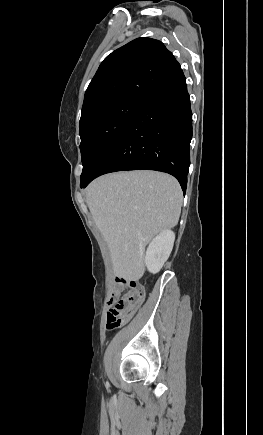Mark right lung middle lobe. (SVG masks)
<instances>
[{
  "instance_id": "1",
  "label": "right lung middle lobe",
  "mask_w": 263,
  "mask_h": 435,
  "mask_svg": "<svg viewBox=\"0 0 263 435\" xmlns=\"http://www.w3.org/2000/svg\"><path fill=\"white\" fill-rule=\"evenodd\" d=\"M144 102L119 100L92 110L80 123L81 182L96 171Z\"/></svg>"
}]
</instances>
